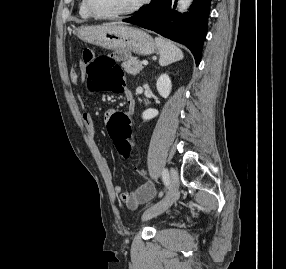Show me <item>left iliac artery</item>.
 <instances>
[{
  "instance_id": "obj_1",
  "label": "left iliac artery",
  "mask_w": 286,
  "mask_h": 269,
  "mask_svg": "<svg viewBox=\"0 0 286 269\" xmlns=\"http://www.w3.org/2000/svg\"><path fill=\"white\" fill-rule=\"evenodd\" d=\"M162 178H163V182L165 186H168L169 185V172L165 168L162 171Z\"/></svg>"
}]
</instances>
